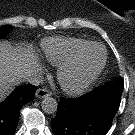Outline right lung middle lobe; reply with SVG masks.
<instances>
[{
    "instance_id": "dd1d6c3e",
    "label": "right lung middle lobe",
    "mask_w": 135,
    "mask_h": 135,
    "mask_svg": "<svg viewBox=\"0 0 135 135\" xmlns=\"http://www.w3.org/2000/svg\"><path fill=\"white\" fill-rule=\"evenodd\" d=\"M11 28H12V26L1 27L0 28V38L4 37Z\"/></svg>"
}]
</instances>
